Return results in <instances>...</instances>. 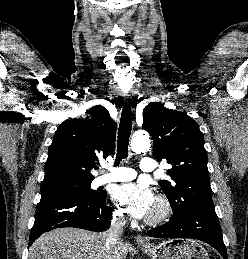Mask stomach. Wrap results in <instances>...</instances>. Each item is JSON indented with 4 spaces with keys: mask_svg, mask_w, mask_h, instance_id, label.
Here are the masks:
<instances>
[{
    "mask_svg": "<svg viewBox=\"0 0 248 259\" xmlns=\"http://www.w3.org/2000/svg\"><path fill=\"white\" fill-rule=\"evenodd\" d=\"M151 259H209L198 242L190 239H172L158 245H141Z\"/></svg>",
    "mask_w": 248,
    "mask_h": 259,
    "instance_id": "0dacf381",
    "label": "stomach"
}]
</instances>
